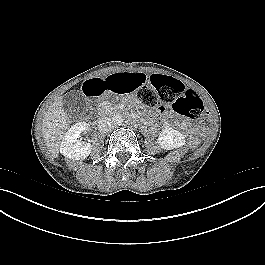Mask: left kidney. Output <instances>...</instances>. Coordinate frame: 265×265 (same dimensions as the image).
<instances>
[{"mask_svg": "<svg viewBox=\"0 0 265 265\" xmlns=\"http://www.w3.org/2000/svg\"><path fill=\"white\" fill-rule=\"evenodd\" d=\"M158 143L161 148L171 150L182 147L185 144V137L173 128H166L159 134Z\"/></svg>", "mask_w": 265, "mask_h": 265, "instance_id": "obj_1", "label": "left kidney"}]
</instances>
